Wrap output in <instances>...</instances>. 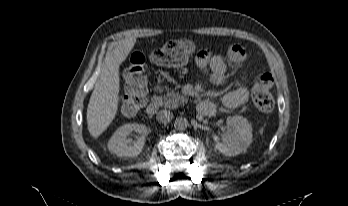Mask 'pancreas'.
I'll return each mask as SVG.
<instances>
[{"mask_svg":"<svg viewBox=\"0 0 348 206\" xmlns=\"http://www.w3.org/2000/svg\"><path fill=\"white\" fill-rule=\"evenodd\" d=\"M187 102L184 96L180 95L178 92H170L163 96V104L167 108H178Z\"/></svg>","mask_w":348,"mask_h":206,"instance_id":"obj_1","label":"pancreas"}]
</instances>
